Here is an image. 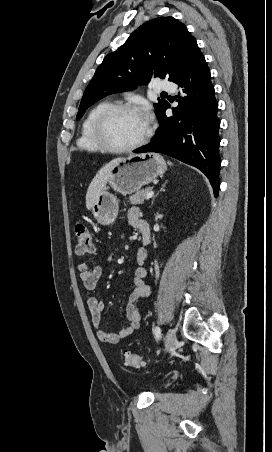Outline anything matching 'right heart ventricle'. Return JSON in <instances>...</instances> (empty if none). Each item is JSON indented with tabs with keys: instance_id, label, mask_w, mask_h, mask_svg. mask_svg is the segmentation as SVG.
<instances>
[{
	"instance_id": "right-heart-ventricle-1",
	"label": "right heart ventricle",
	"mask_w": 272,
	"mask_h": 452,
	"mask_svg": "<svg viewBox=\"0 0 272 452\" xmlns=\"http://www.w3.org/2000/svg\"><path fill=\"white\" fill-rule=\"evenodd\" d=\"M108 104L109 102L107 101L98 103L85 116L81 124L79 137L77 139V146L82 150L90 152H97L103 150V148L100 146V144L95 140L93 136L92 123L97 113Z\"/></svg>"
}]
</instances>
